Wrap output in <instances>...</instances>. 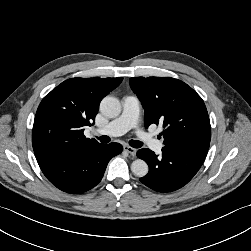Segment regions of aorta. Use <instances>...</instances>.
Instances as JSON below:
<instances>
[{"label":"aorta","mask_w":251,"mask_h":251,"mask_svg":"<svg viewBox=\"0 0 251 251\" xmlns=\"http://www.w3.org/2000/svg\"><path fill=\"white\" fill-rule=\"evenodd\" d=\"M100 111L108 118H115L121 112L120 101L115 97L107 96L100 103ZM131 170L135 176L144 177L147 175L149 168L144 160L136 159L131 164Z\"/></svg>","instance_id":"obj_1"}]
</instances>
